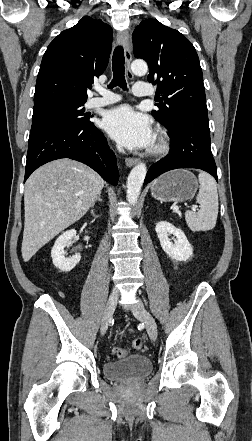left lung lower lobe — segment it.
I'll use <instances>...</instances> for the list:
<instances>
[{"label": "left lung lower lobe", "mask_w": 252, "mask_h": 441, "mask_svg": "<svg viewBox=\"0 0 252 441\" xmlns=\"http://www.w3.org/2000/svg\"><path fill=\"white\" fill-rule=\"evenodd\" d=\"M168 132L171 141L170 152L150 167L144 185L162 173L178 168L202 169L218 179L217 167L211 153L208 120L198 116H187L180 119Z\"/></svg>", "instance_id": "1"}]
</instances>
